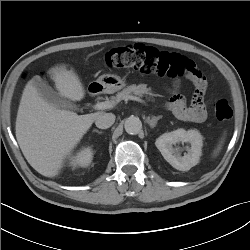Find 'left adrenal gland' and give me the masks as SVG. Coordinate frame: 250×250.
<instances>
[{"instance_id":"1","label":"left adrenal gland","mask_w":250,"mask_h":250,"mask_svg":"<svg viewBox=\"0 0 250 250\" xmlns=\"http://www.w3.org/2000/svg\"><path fill=\"white\" fill-rule=\"evenodd\" d=\"M161 118H162L161 115L157 116V117L153 116L151 119H150V117H147V122H148V124L150 125L151 128H154L157 125L158 120L161 119Z\"/></svg>"}]
</instances>
